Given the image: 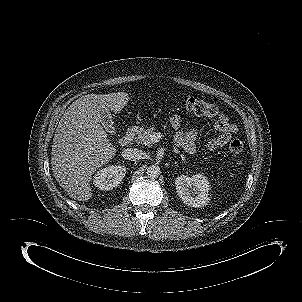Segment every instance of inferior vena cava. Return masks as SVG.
<instances>
[{
    "mask_svg": "<svg viewBox=\"0 0 302 302\" xmlns=\"http://www.w3.org/2000/svg\"><path fill=\"white\" fill-rule=\"evenodd\" d=\"M122 155L125 159L131 160V161H137L140 159H143L145 156V153L136 148H127L122 152Z\"/></svg>",
    "mask_w": 302,
    "mask_h": 302,
    "instance_id": "inferior-vena-cava-1",
    "label": "inferior vena cava"
}]
</instances>
